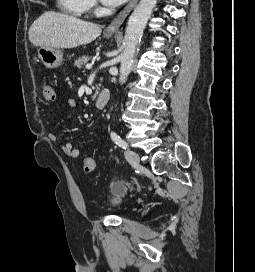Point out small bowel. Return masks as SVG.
Listing matches in <instances>:
<instances>
[{"instance_id": "small-bowel-1", "label": "small bowel", "mask_w": 255, "mask_h": 272, "mask_svg": "<svg viewBox=\"0 0 255 272\" xmlns=\"http://www.w3.org/2000/svg\"><path fill=\"white\" fill-rule=\"evenodd\" d=\"M68 107L71 110H75L77 105L74 101H69ZM49 139L51 141L55 142L57 140V135L55 133H50ZM62 150L66 154V156H68L69 158H72V159L77 158L80 155V150L70 142L64 143L62 145Z\"/></svg>"}]
</instances>
